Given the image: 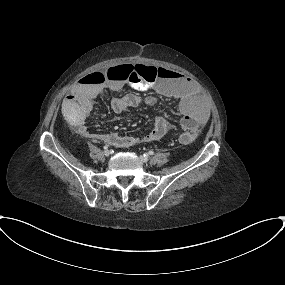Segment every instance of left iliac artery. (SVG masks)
<instances>
[{
    "label": "left iliac artery",
    "instance_id": "obj_1",
    "mask_svg": "<svg viewBox=\"0 0 285 285\" xmlns=\"http://www.w3.org/2000/svg\"><path fill=\"white\" fill-rule=\"evenodd\" d=\"M148 154L149 155H154V151L151 150V151L148 152ZM144 156H146V155L144 154Z\"/></svg>",
    "mask_w": 285,
    "mask_h": 285
}]
</instances>
